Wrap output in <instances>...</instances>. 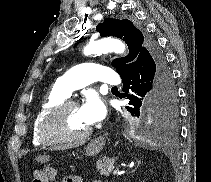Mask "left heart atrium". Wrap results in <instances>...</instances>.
Masks as SVG:
<instances>
[{
	"instance_id": "39dd6f15",
	"label": "left heart atrium",
	"mask_w": 211,
	"mask_h": 182,
	"mask_svg": "<svg viewBox=\"0 0 211 182\" xmlns=\"http://www.w3.org/2000/svg\"><path fill=\"white\" fill-rule=\"evenodd\" d=\"M79 110L84 121L90 126L100 121L106 112L103 101L94 94L87 96Z\"/></svg>"
}]
</instances>
